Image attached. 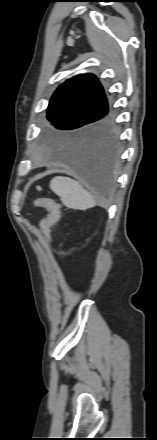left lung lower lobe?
I'll return each mask as SVG.
<instances>
[{
  "mask_svg": "<svg viewBox=\"0 0 157 440\" xmlns=\"http://www.w3.org/2000/svg\"><path fill=\"white\" fill-rule=\"evenodd\" d=\"M118 131L113 123L95 134L66 144V164L98 192L107 193L119 161Z\"/></svg>",
  "mask_w": 157,
  "mask_h": 440,
  "instance_id": "0a47b994",
  "label": "left lung lower lobe"
}]
</instances>
